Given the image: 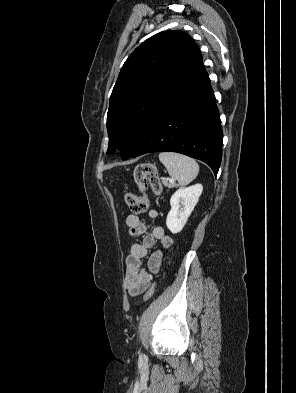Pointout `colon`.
I'll list each match as a JSON object with an SVG mask.
<instances>
[{
    "instance_id": "1",
    "label": "colon",
    "mask_w": 296,
    "mask_h": 393,
    "mask_svg": "<svg viewBox=\"0 0 296 393\" xmlns=\"http://www.w3.org/2000/svg\"><path fill=\"white\" fill-rule=\"evenodd\" d=\"M135 183L141 192V195L126 193L124 196L125 203L133 214L145 213L149 208V199L146 190L150 186L155 195L162 192V184L153 164L142 163L136 166L134 171ZM156 282H154L144 294V300L148 301L155 293Z\"/></svg>"
}]
</instances>
